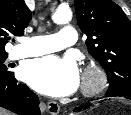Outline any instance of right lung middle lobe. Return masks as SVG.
Instances as JSON below:
<instances>
[{
  "mask_svg": "<svg viewBox=\"0 0 131 115\" xmlns=\"http://www.w3.org/2000/svg\"><path fill=\"white\" fill-rule=\"evenodd\" d=\"M7 55H0V78L8 77L13 74V72L8 71L6 66L3 64L5 59L7 58Z\"/></svg>",
  "mask_w": 131,
  "mask_h": 115,
  "instance_id": "1",
  "label": "right lung middle lobe"
}]
</instances>
